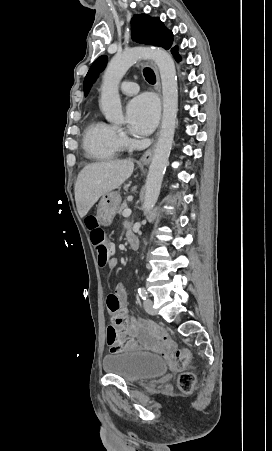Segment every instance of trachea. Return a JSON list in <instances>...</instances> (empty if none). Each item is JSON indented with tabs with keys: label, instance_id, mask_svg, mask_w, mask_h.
<instances>
[{
	"label": "trachea",
	"instance_id": "trachea-1",
	"mask_svg": "<svg viewBox=\"0 0 272 451\" xmlns=\"http://www.w3.org/2000/svg\"><path fill=\"white\" fill-rule=\"evenodd\" d=\"M143 73H144V76H145L147 82L155 83L156 77L154 75L153 70H151V68H145Z\"/></svg>",
	"mask_w": 272,
	"mask_h": 451
}]
</instances>
